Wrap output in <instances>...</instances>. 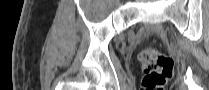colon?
I'll use <instances>...</instances> for the list:
<instances>
[{
	"mask_svg": "<svg viewBox=\"0 0 209 90\" xmlns=\"http://www.w3.org/2000/svg\"><path fill=\"white\" fill-rule=\"evenodd\" d=\"M139 60L144 73L142 90H164L173 74L172 58L154 48H145L140 52Z\"/></svg>",
	"mask_w": 209,
	"mask_h": 90,
	"instance_id": "1",
	"label": "colon"
}]
</instances>
